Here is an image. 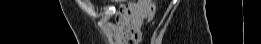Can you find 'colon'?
Wrapping results in <instances>:
<instances>
[{
    "instance_id": "obj_1",
    "label": "colon",
    "mask_w": 261,
    "mask_h": 44,
    "mask_svg": "<svg viewBox=\"0 0 261 44\" xmlns=\"http://www.w3.org/2000/svg\"><path fill=\"white\" fill-rule=\"evenodd\" d=\"M140 2L144 3L146 8H147V23H150L155 16V11H156V5L154 0H140ZM121 5H124L125 7L127 3L124 4V2H121ZM129 6H134L135 2L134 1H129L128 2Z\"/></svg>"
}]
</instances>
